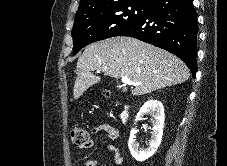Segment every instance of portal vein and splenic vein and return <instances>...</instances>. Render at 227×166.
Listing matches in <instances>:
<instances>
[{"label":"portal vein and splenic vein","instance_id":"1","mask_svg":"<svg viewBox=\"0 0 227 166\" xmlns=\"http://www.w3.org/2000/svg\"><path fill=\"white\" fill-rule=\"evenodd\" d=\"M121 80H122V83H124L126 85H132V86L138 85V83H134V82L130 81L127 77H122Z\"/></svg>","mask_w":227,"mask_h":166}]
</instances>
